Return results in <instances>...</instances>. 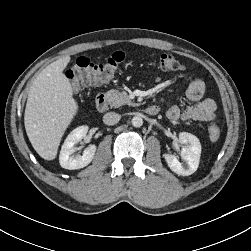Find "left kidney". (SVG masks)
<instances>
[{"instance_id": "1", "label": "left kidney", "mask_w": 251, "mask_h": 251, "mask_svg": "<svg viewBox=\"0 0 251 251\" xmlns=\"http://www.w3.org/2000/svg\"><path fill=\"white\" fill-rule=\"evenodd\" d=\"M179 142L185 145L180 153L183 162H180L178 158L172 154H164L163 156L169 168L174 173L182 176H189L198 168L201 144L195 135L187 132H181L179 134Z\"/></svg>"}]
</instances>
